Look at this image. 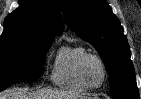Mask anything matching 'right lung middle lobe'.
Listing matches in <instances>:
<instances>
[{"mask_svg": "<svg viewBox=\"0 0 141 99\" xmlns=\"http://www.w3.org/2000/svg\"><path fill=\"white\" fill-rule=\"evenodd\" d=\"M51 42L0 38V91L10 84L39 78Z\"/></svg>", "mask_w": 141, "mask_h": 99, "instance_id": "1", "label": "right lung middle lobe"}]
</instances>
